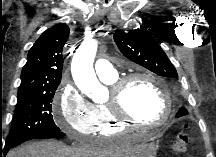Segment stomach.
Masks as SVG:
<instances>
[{
    "instance_id": "0dacf381",
    "label": "stomach",
    "mask_w": 216,
    "mask_h": 157,
    "mask_svg": "<svg viewBox=\"0 0 216 157\" xmlns=\"http://www.w3.org/2000/svg\"><path fill=\"white\" fill-rule=\"evenodd\" d=\"M156 146L153 143H147L142 145L140 153L136 157H155Z\"/></svg>"
}]
</instances>
